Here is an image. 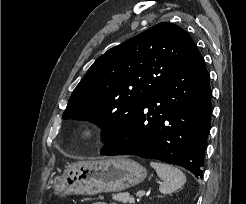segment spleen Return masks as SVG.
Here are the masks:
<instances>
[{"instance_id": "obj_1", "label": "spleen", "mask_w": 246, "mask_h": 204, "mask_svg": "<svg viewBox=\"0 0 246 204\" xmlns=\"http://www.w3.org/2000/svg\"><path fill=\"white\" fill-rule=\"evenodd\" d=\"M150 165L156 170L159 178L163 180V183L159 186L161 193L170 194L185 184L186 176L177 167L157 161H151Z\"/></svg>"}]
</instances>
